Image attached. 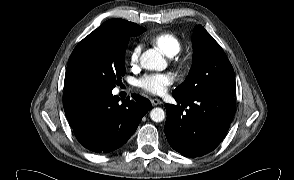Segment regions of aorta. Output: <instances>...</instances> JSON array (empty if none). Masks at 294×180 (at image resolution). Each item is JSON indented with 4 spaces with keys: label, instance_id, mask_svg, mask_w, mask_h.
<instances>
[{
    "label": "aorta",
    "instance_id": "obj_1",
    "mask_svg": "<svg viewBox=\"0 0 294 180\" xmlns=\"http://www.w3.org/2000/svg\"><path fill=\"white\" fill-rule=\"evenodd\" d=\"M140 63L143 68L148 70L162 71L167 67L166 60L154 49L145 51L141 55ZM150 118L154 122H162L165 119V112L162 108L156 107L151 110Z\"/></svg>",
    "mask_w": 294,
    "mask_h": 180
}]
</instances>
